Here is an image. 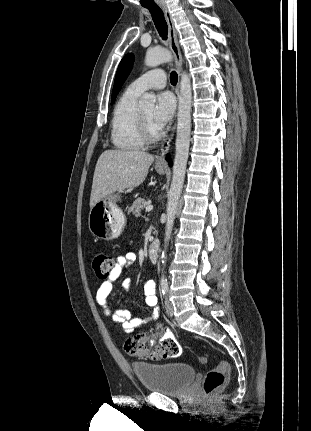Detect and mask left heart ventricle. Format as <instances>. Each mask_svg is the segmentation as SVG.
Listing matches in <instances>:
<instances>
[{"mask_svg":"<svg viewBox=\"0 0 311 431\" xmlns=\"http://www.w3.org/2000/svg\"><path fill=\"white\" fill-rule=\"evenodd\" d=\"M141 112L143 113V115H144L145 119L147 120V122H148V124H149V126H150V129H151L152 133H153V134H158V133H159V131H158V129L155 127V125H154V123H153V113H154V110L151 108V109H146V110L141 111Z\"/></svg>","mask_w":311,"mask_h":431,"instance_id":"obj_1","label":"left heart ventricle"}]
</instances>
